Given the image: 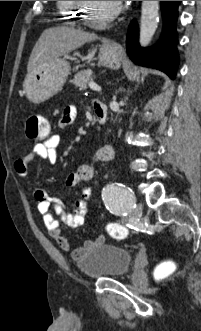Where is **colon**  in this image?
<instances>
[{
	"instance_id": "colon-1",
	"label": "colon",
	"mask_w": 201,
	"mask_h": 331,
	"mask_svg": "<svg viewBox=\"0 0 201 331\" xmlns=\"http://www.w3.org/2000/svg\"><path fill=\"white\" fill-rule=\"evenodd\" d=\"M50 127L47 120L40 114H30L26 120V135L31 141H44L49 137ZM109 235L115 239H123L127 236V229L117 223H111L107 227ZM176 271V265L172 261H164L155 269L156 279L161 281L171 277Z\"/></svg>"
}]
</instances>
